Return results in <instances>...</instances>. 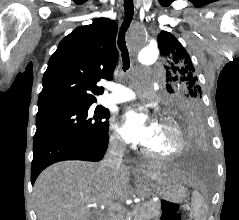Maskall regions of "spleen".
<instances>
[{
  "label": "spleen",
  "mask_w": 239,
  "mask_h": 220,
  "mask_svg": "<svg viewBox=\"0 0 239 220\" xmlns=\"http://www.w3.org/2000/svg\"><path fill=\"white\" fill-rule=\"evenodd\" d=\"M191 200L194 220H205L207 217V205L202 195L195 190L192 193Z\"/></svg>",
  "instance_id": "obj_1"
}]
</instances>
